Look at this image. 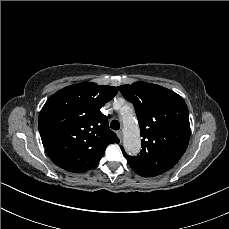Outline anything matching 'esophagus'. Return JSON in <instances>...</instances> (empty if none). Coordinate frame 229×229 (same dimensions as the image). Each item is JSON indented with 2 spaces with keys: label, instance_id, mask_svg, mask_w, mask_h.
Instances as JSON below:
<instances>
[{
  "label": "esophagus",
  "instance_id": "obj_1",
  "mask_svg": "<svg viewBox=\"0 0 229 229\" xmlns=\"http://www.w3.org/2000/svg\"><path fill=\"white\" fill-rule=\"evenodd\" d=\"M116 135H117L118 138L121 140L122 137H123V132H122V130H118V131L116 132Z\"/></svg>",
  "mask_w": 229,
  "mask_h": 229
}]
</instances>
